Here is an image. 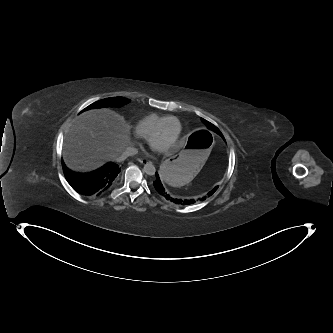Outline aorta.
Returning a JSON list of instances; mask_svg holds the SVG:
<instances>
[{
  "label": "aorta",
  "instance_id": "762f6f07",
  "mask_svg": "<svg viewBox=\"0 0 333 333\" xmlns=\"http://www.w3.org/2000/svg\"><path fill=\"white\" fill-rule=\"evenodd\" d=\"M144 172L147 174V175H154L155 172H156V169L154 167V165L152 163H147L145 166H144Z\"/></svg>",
  "mask_w": 333,
  "mask_h": 333
}]
</instances>
